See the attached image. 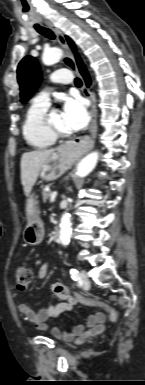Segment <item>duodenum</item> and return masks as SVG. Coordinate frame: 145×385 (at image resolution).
<instances>
[{"mask_svg": "<svg viewBox=\"0 0 145 385\" xmlns=\"http://www.w3.org/2000/svg\"><path fill=\"white\" fill-rule=\"evenodd\" d=\"M53 240L55 242H57L59 240V228L56 227L54 230H53Z\"/></svg>", "mask_w": 145, "mask_h": 385, "instance_id": "1", "label": "duodenum"}]
</instances>
